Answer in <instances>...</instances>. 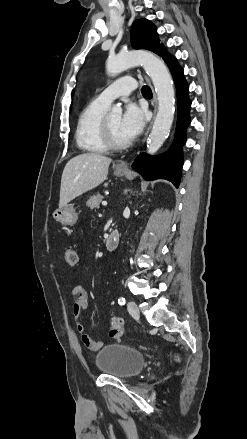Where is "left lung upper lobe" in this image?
<instances>
[{"instance_id": "1", "label": "left lung upper lobe", "mask_w": 247, "mask_h": 439, "mask_svg": "<svg viewBox=\"0 0 247 439\" xmlns=\"http://www.w3.org/2000/svg\"><path fill=\"white\" fill-rule=\"evenodd\" d=\"M131 44L134 49H147L160 55L168 64V67L176 60L159 44L155 26L147 19H139L133 23Z\"/></svg>"}]
</instances>
